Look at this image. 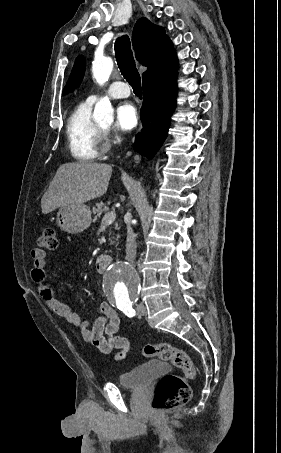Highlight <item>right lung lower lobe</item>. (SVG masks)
Segmentation results:
<instances>
[{"label":"right lung lower lobe","instance_id":"98d812e1","mask_svg":"<svg viewBox=\"0 0 281 453\" xmlns=\"http://www.w3.org/2000/svg\"><path fill=\"white\" fill-rule=\"evenodd\" d=\"M176 53L144 77V101L140 111L143 129L137 134L134 149L151 158L164 142L170 118L176 107Z\"/></svg>","mask_w":281,"mask_h":453}]
</instances>
